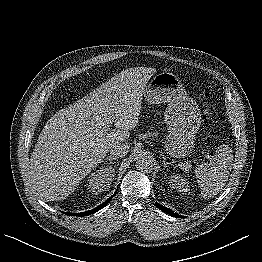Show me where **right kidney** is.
I'll use <instances>...</instances> for the list:
<instances>
[{
  "instance_id": "ca27d5eb",
  "label": "right kidney",
  "mask_w": 262,
  "mask_h": 262,
  "mask_svg": "<svg viewBox=\"0 0 262 262\" xmlns=\"http://www.w3.org/2000/svg\"><path fill=\"white\" fill-rule=\"evenodd\" d=\"M114 179V169L104 168L92 173L88 179V190L98 194L107 190Z\"/></svg>"
}]
</instances>
